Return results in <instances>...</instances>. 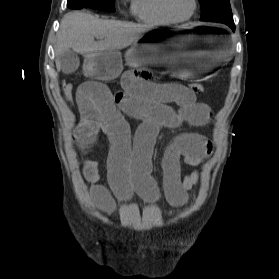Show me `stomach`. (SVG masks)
Instances as JSON below:
<instances>
[{"label": "stomach", "instance_id": "0dacf381", "mask_svg": "<svg viewBox=\"0 0 279 279\" xmlns=\"http://www.w3.org/2000/svg\"><path fill=\"white\" fill-rule=\"evenodd\" d=\"M226 24H188L173 29L157 25L133 43L126 57L115 51L89 50L77 65L76 75L84 82H113L123 63L131 67H152L154 75L180 78V82H211L231 63V34H221Z\"/></svg>", "mask_w": 279, "mask_h": 279}]
</instances>
